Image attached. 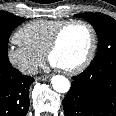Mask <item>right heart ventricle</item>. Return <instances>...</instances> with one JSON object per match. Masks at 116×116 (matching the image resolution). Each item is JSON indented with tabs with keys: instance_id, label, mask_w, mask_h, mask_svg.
I'll list each match as a JSON object with an SVG mask.
<instances>
[{
	"instance_id": "e07e8e85",
	"label": "right heart ventricle",
	"mask_w": 116,
	"mask_h": 116,
	"mask_svg": "<svg viewBox=\"0 0 116 116\" xmlns=\"http://www.w3.org/2000/svg\"><path fill=\"white\" fill-rule=\"evenodd\" d=\"M64 22L60 19L34 20L22 26L16 38L32 51L44 55L56 29Z\"/></svg>"
}]
</instances>
